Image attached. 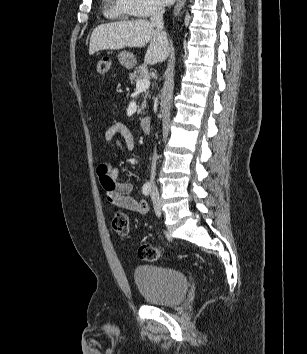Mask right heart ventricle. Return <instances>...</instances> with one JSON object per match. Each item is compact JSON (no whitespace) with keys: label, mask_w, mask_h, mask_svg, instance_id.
<instances>
[{"label":"right heart ventricle","mask_w":307,"mask_h":354,"mask_svg":"<svg viewBox=\"0 0 307 354\" xmlns=\"http://www.w3.org/2000/svg\"><path fill=\"white\" fill-rule=\"evenodd\" d=\"M104 14L109 18L127 19L134 16L126 0H105Z\"/></svg>","instance_id":"e07e8e85"}]
</instances>
